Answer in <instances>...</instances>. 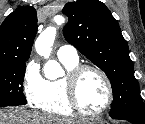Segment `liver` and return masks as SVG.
I'll return each instance as SVG.
<instances>
[{"label":"liver","instance_id":"1","mask_svg":"<svg viewBox=\"0 0 145 124\" xmlns=\"http://www.w3.org/2000/svg\"><path fill=\"white\" fill-rule=\"evenodd\" d=\"M79 121L21 109H0V124H79Z\"/></svg>","mask_w":145,"mask_h":124}]
</instances>
